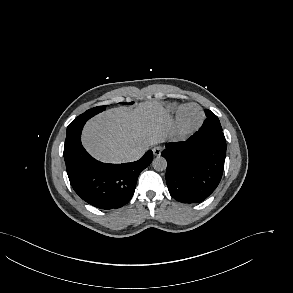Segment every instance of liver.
<instances>
[{"label": "liver", "mask_w": 293, "mask_h": 293, "mask_svg": "<svg viewBox=\"0 0 293 293\" xmlns=\"http://www.w3.org/2000/svg\"><path fill=\"white\" fill-rule=\"evenodd\" d=\"M172 118L158 102H142L130 110L117 107L91 118L82 142L96 159L124 163L133 151L145 153L150 146L165 142L172 132Z\"/></svg>", "instance_id": "obj_1"}]
</instances>
